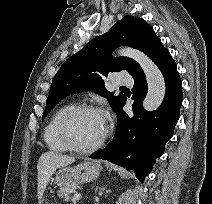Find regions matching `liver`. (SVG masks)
Listing matches in <instances>:
<instances>
[{
    "mask_svg": "<svg viewBox=\"0 0 212 204\" xmlns=\"http://www.w3.org/2000/svg\"><path fill=\"white\" fill-rule=\"evenodd\" d=\"M74 161V157H69L53 151L45 152L40 156L37 164V195L39 201L42 200L44 191L53 173L58 168L72 164Z\"/></svg>",
    "mask_w": 212,
    "mask_h": 204,
    "instance_id": "6515ba94",
    "label": "liver"
}]
</instances>
